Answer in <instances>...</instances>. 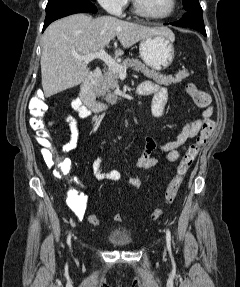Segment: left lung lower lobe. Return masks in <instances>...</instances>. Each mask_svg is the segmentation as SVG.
<instances>
[{
	"label": "left lung lower lobe",
	"instance_id": "left-lung-lower-lobe-1",
	"mask_svg": "<svg viewBox=\"0 0 240 287\" xmlns=\"http://www.w3.org/2000/svg\"><path fill=\"white\" fill-rule=\"evenodd\" d=\"M188 12L177 22L171 23L175 26L189 27L200 31L206 36V31L203 22L202 8L199 5L191 6L186 9Z\"/></svg>",
	"mask_w": 240,
	"mask_h": 287
}]
</instances>
